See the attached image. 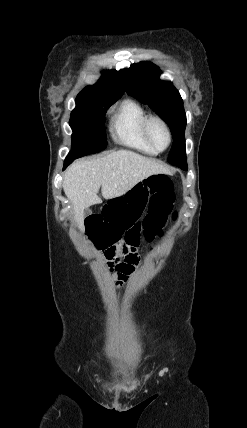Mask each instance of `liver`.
I'll list each match as a JSON object with an SVG mask.
<instances>
[{
  "label": "liver",
  "mask_w": 247,
  "mask_h": 428,
  "mask_svg": "<svg viewBox=\"0 0 247 428\" xmlns=\"http://www.w3.org/2000/svg\"><path fill=\"white\" fill-rule=\"evenodd\" d=\"M169 173L153 159L130 150H118L104 157L79 160L65 172L63 189L71 201L74 220L82 227L84 210L105 199L120 197L151 175Z\"/></svg>",
  "instance_id": "liver-1"
}]
</instances>
